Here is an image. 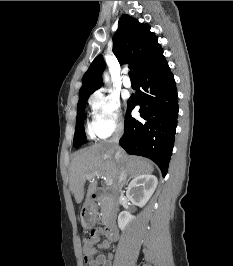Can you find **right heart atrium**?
I'll list each match as a JSON object with an SVG mask.
<instances>
[{"label": "right heart atrium", "mask_w": 233, "mask_h": 266, "mask_svg": "<svg viewBox=\"0 0 233 266\" xmlns=\"http://www.w3.org/2000/svg\"><path fill=\"white\" fill-rule=\"evenodd\" d=\"M92 118L89 134L94 138H106L123 127V117L119 98L101 89L91 97Z\"/></svg>", "instance_id": "1"}]
</instances>
